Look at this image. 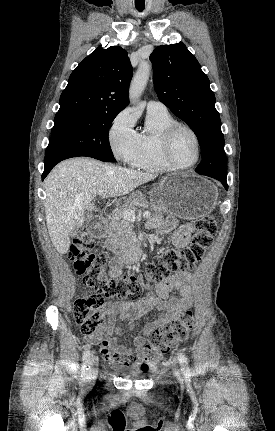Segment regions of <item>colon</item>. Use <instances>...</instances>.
Instances as JSON below:
<instances>
[{
	"mask_svg": "<svg viewBox=\"0 0 275 431\" xmlns=\"http://www.w3.org/2000/svg\"><path fill=\"white\" fill-rule=\"evenodd\" d=\"M217 233L214 216L205 215L195 222V233L190 246L182 249L167 248L136 269L117 277L106 273L107 259L103 253L95 252V240L90 233L83 232L73 240L70 257L75 271L83 277L85 284L95 293L78 298L73 306V318L81 332L91 337L105 325V299H135L152 283H160L172 273L192 270L204 256ZM193 313L185 311L181 317L162 328L147 334V346L141 356V368L155 365L163 354L186 340L193 328Z\"/></svg>",
	"mask_w": 275,
	"mask_h": 431,
	"instance_id": "1",
	"label": "colon"
}]
</instances>
